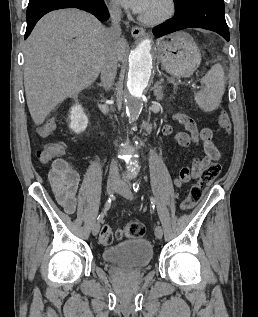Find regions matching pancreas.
<instances>
[{
	"instance_id": "cf45deb5",
	"label": "pancreas",
	"mask_w": 258,
	"mask_h": 317,
	"mask_svg": "<svg viewBox=\"0 0 258 317\" xmlns=\"http://www.w3.org/2000/svg\"><path fill=\"white\" fill-rule=\"evenodd\" d=\"M167 80H169V82H173L174 84V78H172V76H167Z\"/></svg>"
}]
</instances>
